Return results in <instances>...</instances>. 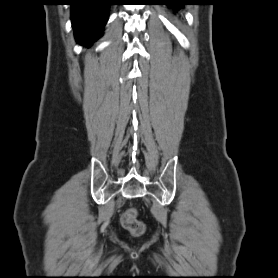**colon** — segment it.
<instances>
[{"label":"colon","instance_id":"1","mask_svg":"<svg viewBox=\"0 0 278 278\" xmlns=\"http://www.w3.org/2000/svg\"><path fill=\"white\" fill-rule=\"evenodd\" d=\"M122 225L135 235H139L144 230L143 223L137 219V214L135 209L126 210L121 217Z\"/></svg>","mask_w":278,"mask_h":278}]
</instances>
